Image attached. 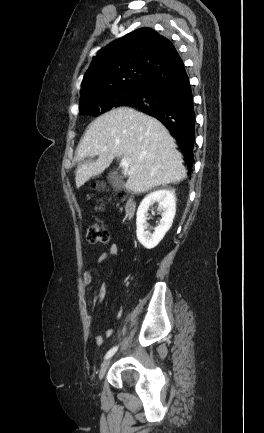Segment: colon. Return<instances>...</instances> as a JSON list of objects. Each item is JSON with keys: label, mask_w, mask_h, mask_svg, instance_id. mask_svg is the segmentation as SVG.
Returning a JSON list of instances; mask_svg holds the SVG:
<instances>
[{"label": "colon", "mask_w": 264, "mask_h": 433, "mask_svg": "<svg viewBox=\"0 0 264 433\" xmlns=\"http://www.w3.org/2000/svg\"><path fill=\"white\" fill-rule=\"evenodd\" d=\"M117 196L119 198H123L125 196V192L120 191L117 193ZM86 240L90 244L103 245L110 242L111 235L108 229H106L105 227L94 224L88 228L86 233Z\"/></svg>", "instance_id": "colon-1"}]
</instances>
